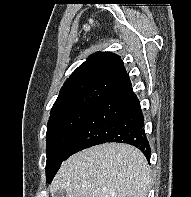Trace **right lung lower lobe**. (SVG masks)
<instances>
[{"mask_svg": "<svg viewBox=\"0 0 191 197\" xmlns=\"http://www.w3.org/2000/svg\"><path fill=\"white\" fill-rule=\"evenodd\" d=\"M106 142L133 145L144 153L148 161L150 159L151 150L144 131L140 102L130 81L114 88L94 105L65 159Z\"/></svg>", "mask_w": 191, "mask_h": 197, "instance_id": "1", "label": "right lung lower lobe"}]
</instances>
